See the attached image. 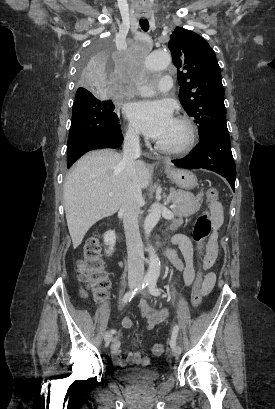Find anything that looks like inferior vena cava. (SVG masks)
<instances>
[{"label": "inferior vena cava", "instance_id": "inferior-vena-cava-1", "mask_svg": "<svg viewBox=\"0 0 275 409\" xmlns=\"http://www.w3.org/2000/svg\"><path fill=\"white\" fill-rule=\"evenodd\" d=\"M140 152L139 132L127 130L124 136L122 158L125 168V192L120 213L123 217L128 253V277L131 281H143L144 277V251L138 225L143 196L135 168V158H139Z\"/></svg>", "mask_w": 275, "mask_h": 409}]
</instances>
